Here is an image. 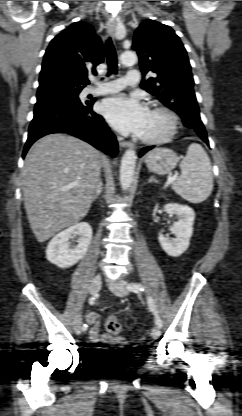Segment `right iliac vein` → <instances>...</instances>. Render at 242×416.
I'll return each instance as SVG.
<instances>
[{
  "mask_svg": "<svg viewBox=\"0 0 242 416\" xmlns=\"http://www.w3.org/2000/svg\"><path fill=\"white\" fill-rule=\"evenodd\" d=\"M101 284H102L101 275L97 274L91 282L90 293L96 294L100 290ZM74 332L76 334L81 333V316L80 315H78L74 321Z\"/></svg>",
  "mask_w": 242,
  "mask_h": 416,
  "instance_id": "obj_1",
  "label": "right iliac vein"
}]
</instances>
